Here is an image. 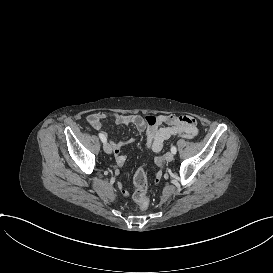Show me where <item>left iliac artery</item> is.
<instances>
[{
  "label": "left iliac artery",
  "mask_w": 273,
  "mask_h": 273,
  "mask_svg": "<svg viewBox=\"0 0 273 273\" xmlns=\"http://www.w3.org/2000/svg\"><path fill=\"white\" fill-rule=\"evenodd\" d=\"M176 151H177V150H176V147H175V146H172V147H171V152H172L173 154H176Z\"/></svg>",
  "instance_id": "obj_1"
}]
</instances>
